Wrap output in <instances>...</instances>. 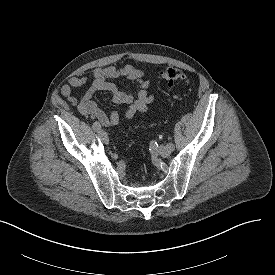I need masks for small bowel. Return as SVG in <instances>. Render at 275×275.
<instances>
[{"mask_svg":"<svg viewBox=\"0 0 275 275\" xmlns=\"http://www.w3.org/2000/svg\"><path fill=\"white\" fill-rule=\"evenodd\" d=\"M118 78H126L135 83L136 92L126 93L118 90L113 83ZM89 81H92V84L82 97L73 96V88L82 87ZM151 85L152 80L146 78L144 72L133 65L123 67L110 65L97 67L85 75L69 78L60 92L82 116L95 119L99 124L109 127L118 125L122 120L129 121L137 113H146L154 100V96L150 93ZM99 91L108 92L114 104L127 106L123 118L117 111L107 114L97 106L92 98Z\"/></svg>","mask_w":275,"mask_h":275,"instance_id":"small-bowel-1","label":"small bowel"}]
</instances>
